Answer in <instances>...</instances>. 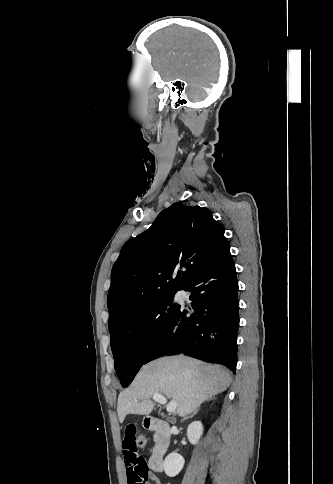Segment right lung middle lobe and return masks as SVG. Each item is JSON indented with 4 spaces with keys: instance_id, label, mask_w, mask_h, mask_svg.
I'll list each match as a JSON object with an SVG mask.
<instances>
[{
    "instance_id": "right-lung-middle-lobe-1",
    "label": "right lung middle lobe",
    "mask_w": 333,
    "mask_h": 484,
    "mask_svg": "<svg viewBox=\"0 0 333 484\" xmlns=\"http://www.w3.org/2000/svg\"><path fill=\"white\" fill-rule=\"evenodd\" d=\"M176 292L144 303L109 325L114 367L123 387H127L158 338L173 320L179 304Z\"/></svg>"
}]
</instances>
